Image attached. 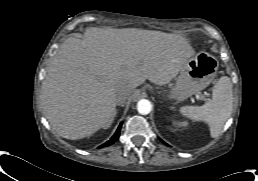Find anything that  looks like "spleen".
<instances>
[{
  "mask_svg": "<svg viewBox=\"0 0 258 181\" xmlns=\"http://www.w3.org/2000/svg\"><path fill=\"white\" fill-rule=\"evenodd\" d=\"M233 108L232 83L229 77L222 76L214 85L212 99L202 106H184L180 113L195 122H205L211 137H217Z\"/></svg>",
  "mask_w": 258,
  "mask_h": 181,
  "instance_id": "3e777b00",
  "label": "spleen"
}]
</instances>
